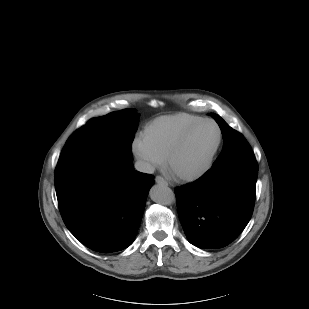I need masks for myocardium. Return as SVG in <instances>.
I'll list each match as a JSON object with an SVG mask.
<instances>
[{
    "instance_id": "1",
    "label": "myocardium",
    "mask_w": 309,
    "mask_h": 309,
    "mask_svg": "<svg viewBox=\"0 0 309 309\" xmlns=\"http://www.w3.org/2000/svg\"><path fill=\"white\" fill-rule=\"evenodd\" d=\"M205 123H212L218 129V141L216 143V146H215L208 162L206 163V165L202 169H200L199 171L194 172V173H187V174H176V173H174L175 177L179 181L192 182V181L198 180V179L202 178L204 175H206L211 170L212 166L214 165L216 157H217L219 150H220L222 143H223L224 133H223V130H222V127L220 126V124L212 118H204V119L196 122L195 124L191 125L189 128H187L180 135V137L175 141V143L173 144V146L171 147V149L167 153L166 158H165V164L170 169V165H171L173 158L178 153V151L181 149L183 144L187 141V139L191 136V134L198 127H200L201 125H203Z\"/></svg>"
}]
</instances>
